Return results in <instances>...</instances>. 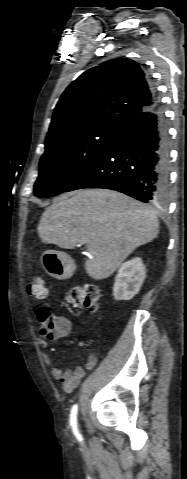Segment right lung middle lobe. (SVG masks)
Instances as JSON below:
<instances>
[{
	"instance_id": "right-lung-middle-lobe-1",
	"label": "right lung middle lobe",
	"mask_w": 187,
	"mask_h": 479,
	"mask_svg": "<svg viewBox=\"0 0 187 479\" xmlns=\"http://www.w3.org/2000/svg\"><path fill=\"white\" fill-rule=\"evenodd\" d=\"M120 130L91 126L69 131L45 143L34 194L52 197L64 192L107 149Z\"/></svg>"
}]
</instances>
